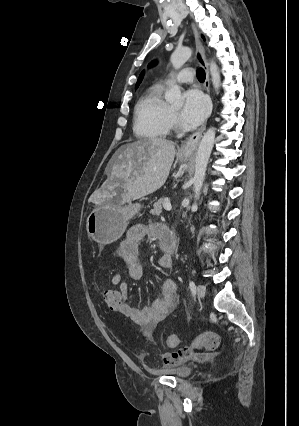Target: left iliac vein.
Segmentation results:
<instances>
[{"label":"left iliac vein","mask_w":299,"mask_h":426,"mask_svg":"<svg viewBox=\"0 0 299 426\" xmlns=\"http://www.w3.org/2000/svg\"><path fill=\"white\" fill-rule=\"evenodd\" d=\"M206 289L203 285L199 284L197 286V294L200 298H203L205 296Z\"/></svg>","instance_id":"obj_1"}]
</instances>
